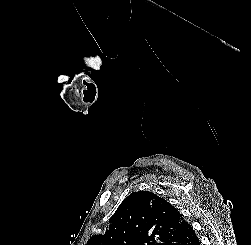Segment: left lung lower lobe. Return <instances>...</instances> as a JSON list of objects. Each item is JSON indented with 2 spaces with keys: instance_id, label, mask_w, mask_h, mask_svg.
<instances>
[{
  "instance_id": "left-lung-lower-lobe-1",
  "label": "left lung lower lobe",
  "mask_w": 251,
  "mask_h": 245,
  "mask_svg": "<svg viewBox=\"0 0 251 245\" xmlns=\"http://www.w3.org/2000/svg\"><path fill=\"white\" fill-rule=\"evenodd\" d=\"M169 245H200L193 227L188 223L181 227Z\"/></svg>"
}]
</instances>
